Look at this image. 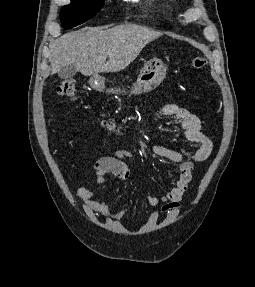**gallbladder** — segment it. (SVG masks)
Returning a JSON list of instances; mask_svg holds the SVG:
<instances>
[{
    "label": "gallbladder",
    "instance_id": "1",
    "mask_svg": "<svg viewBox=\"0 0 255 287\" xmlns=\"http://www.w3.org/2000/svg\"><path fill=\"white\" fill-rule=\"evenodd\" d=\"M78 70L76 66H64V68H60L58 70L57 74L59 78H62V80H66V78H71V76H74V74H77Z\"/></svg>",
    "mask_w": 255,
    "mask_h": 287
}]
</instances>
